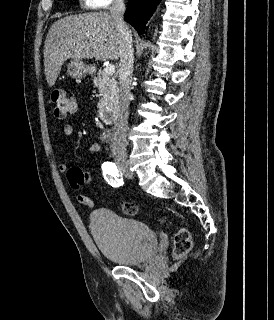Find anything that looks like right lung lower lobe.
Instances as JSON below:
<instances>
[{
    "mask_svg": "<svg viewBox=\"0 0 274 320\" xmlns=\"http://www.w3.org/2000/svg\"><path fill=\"white\" fill-rule=\"evenodd\" d=\"M160 0H128L124 19L141 35Z\"/></svg>",
    "mask_w": 274,
    "mask_h": 320,
    "instance_id": "right-lung-lower-lobe-1",
    "label": "right lung lower lobe"
}]
</instances>
